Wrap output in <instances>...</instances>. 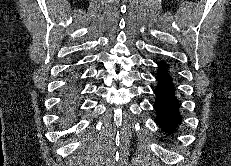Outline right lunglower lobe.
<instances>
[{"label": "right lung lower lobe", "instance_id": "98d812e1", "mask_svg": "<svg viewBox=\"0 0 231 166\" xmlns=\"http://www.w3.org/2000/svg\"><path fill=\"white\" fill-rule=\"evenodd\" d=\"M80 100V80L77 70H71L68 74L67 84L62 90V100L59 105L62 122H71L76 114Z\"/></svg>", "mask_w": 231, "mask_h": 166}]
</instances>
